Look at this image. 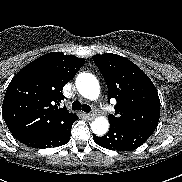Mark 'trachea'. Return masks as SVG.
<instances>
[{"mask_svg":"<svg viewBox=\"0 0 182 182\" xmlns=\"http://www.w3.org/2000/svg\"><path fill=\"white\" fill-rule=\"evenodd\" d=\"M72 110H82L89 113L91 111V108L89 105L81 104L80 101L76 100L72 103Z\"/></svg>","mask_w":182,"mask_h":182,"instance_id":"obj_1","label":"trachea"}]
</instances>
